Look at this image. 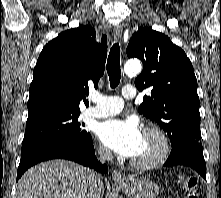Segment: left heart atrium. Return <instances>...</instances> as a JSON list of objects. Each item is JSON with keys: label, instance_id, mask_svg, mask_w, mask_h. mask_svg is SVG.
<instances>
[{"label": "left heart atrium", "instance_id": "obj_1", "mask_svg": "<svg viewBox=\"0 0 221 198\" xmlns=\"http://www.w3.org/2000/svg\"><path fill=\"white\" fill-rule=\"evenodd\" d=\"M96 134L106 146L126 157L135 154L142 139L138 123L133 118L103 121L98 125Z\"/></svg>", "mask_w": 221, "mask_h": 198}]
</instances>
